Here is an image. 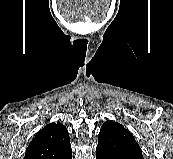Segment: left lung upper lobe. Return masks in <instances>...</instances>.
<instances>
[{
    "mask_svg": "<svg viewBox=\"0 0 173 159\" xmlns=\"http://www.w3.org/2000/svg\"><path fill=\"white\" fill-rule=\"evenodd\" d=\"M98 147L120 159H143L140 146L133 135L118 122L108 120L100 130Z\"/></svg>",
    "mask_w": 173,
    "mask_h": 159,
    "instance_id": "left-lung-upper-lobe-1",
    "label": "left lung upper lobe"
}]
</instances>
